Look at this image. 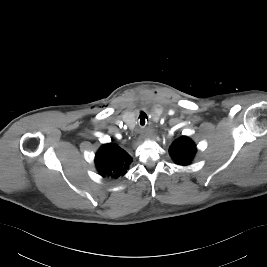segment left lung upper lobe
Returning <instances> with one entry per match:
<instances>
[{
    "label": "left lung upper lobe",
    "instance_id": "left-lung-upper-lobe-1",
    "mask_svg": "<svg viewBox=\"0 0 267 267\" xmlns=\"http://www.w3.org/2000/svg\"><path fill=\"white\" fill-rule=\"evenodd\" d=\"M196 145L186 136H182L174 141L169 153L174 162L178 165H189L196 153Z\"/></svg>",
    "mask_w": 267,
    "mask_h": 267
}]
</instances>
